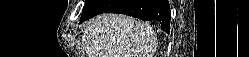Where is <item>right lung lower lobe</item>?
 Listing matches in <instances>:
<instances>
[{"label": "right lung lower lobe", "mask_w": 249, "mask_h": 57, "mask_svg": "<svg viewBox=\"0 0 249 57\" xmlns=\"http://www.w3.org/2000/svg\"><path fill=\"white\" fill-rule=\"evenodd\" d=\"M100 13H122L143 20H157L162 30L169 32L170 6L167 0H91L84 8L83 22Z\"/></svg>", "instance_id": "right-lung-lower-lobe-1"}]
</instances>
